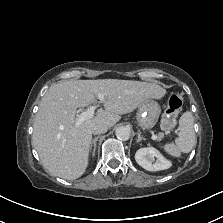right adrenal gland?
Returning <instances> with one entry per match:
<instances>
[{
	"label": "right adrenal gland",
	"instance_id": "right-adrenal-gland-1",
	"mask_svg": "<svg viewBox=\"0 0 223 223\" xmlns=\"http://www.w3.org/2000/svg\"><path fill=\"white\" fill-rule=\"evenodd\" d=\"M99 137H95L92 142H91V145H90V150H92V147H94L93 149V152H92V156L94 157L95 155V151H96V145H97V140H98Z\"/></svg>",
	"mask_w": 223,
	"mask_h": 223
}]
</instances>
